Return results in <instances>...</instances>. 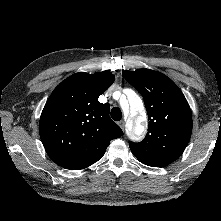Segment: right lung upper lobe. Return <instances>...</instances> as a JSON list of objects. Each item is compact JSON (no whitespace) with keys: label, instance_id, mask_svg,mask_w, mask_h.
<instances>
[{"label":"right lung upper lobe","instance_id":"cb5924a9","mask_svg":"<svg viewBox=\"0 0 221 221\" xmlns=\"http://www.w3.org/2000/svg\"><path fill=\"white\" fill-rule=\"evenodd\" d=\"M114 82L110 71L79 72L62 81L47 100L39 133L49 157L59 166L79 170L98 161L110 141L122 136L98 97Z\"/></svg>","mask_w":221,"mask_h":221}]
</instances>
